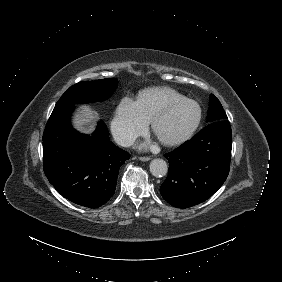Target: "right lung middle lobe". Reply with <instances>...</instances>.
<instances>
[{
    "label": "right lung middle lobe",
    "mask_w": 282,
    "mask_h": 282,
    "mask_svg": "<svg viewBox=\"0 0 282 282\" xmlns=\"http://www.w3.org/2000/svg\"><path fill=\"white\" fill-rule=\"evenodd\" d=\"M117 85L116 78L79 82L62 95L54 109L67 104L104 101L114 93Z\"/></svg>",
    "instance_id": "1"
}]
</instances>
